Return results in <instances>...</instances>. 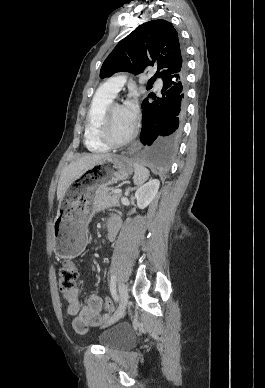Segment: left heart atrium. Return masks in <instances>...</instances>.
<instances>
[{
	"label": "left heart atrium",
	"instance_id": "obj_1",
	"mask_svg": "<svg viewBox=\"0 0 265 388\" xmlns=\"http://www.w3.org/2000/svg\"><path fill=\"white\" fill-rule=\"evenodd\" d=\"M126 118L130 123H134L139 117V108L134 99H130L123 107Z\"/></svg>",
	"mask_w": 265,
	"mask_h": 388
}]
</instances>
